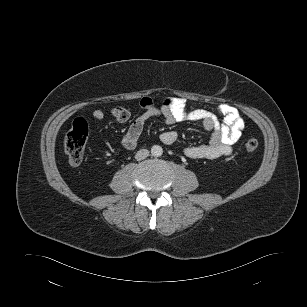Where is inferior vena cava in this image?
<instances>
[{
    "label": "inferior vena cava",
    "instance_id": "obj_1",
    "mask_svg": "<svg viewBox=\"0 0 307 307\" xmlns=\"http://www.w3.org/2000/svg\"><path fill=\"white\" fill-rule=\"evenodd\" d=\"M148 156H149V151L147 149H140L139 151H137L135 155V159L140 161V160L145 159Z\"/></svg>",
    "mask_w": 307,
    "mask_h": 307
}]
</instances>
